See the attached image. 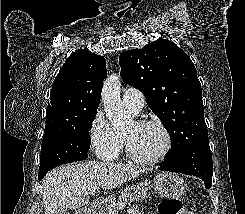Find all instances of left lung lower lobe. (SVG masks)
<instances>
[{"mask_svg": "<svg viewBox=\"0 0 245 214\" xmlns=\"http://www.w3.org/2000/svg\"><path fill=\"white\" fill-rule=\"evenodd\" d=\"M159 169L197 176L204 181L206 188H210L213 162L209 143H200L179 154L165 157Z\"/></svg>", "mask_w": 245, "mask_h": 214, "instance_id": "left-lung-lower-lobe-1", "label": "left lung lower lobe"}]
</instances>
